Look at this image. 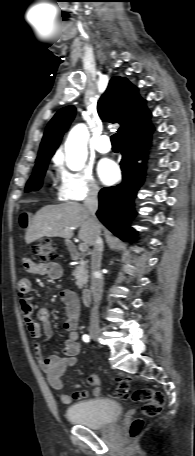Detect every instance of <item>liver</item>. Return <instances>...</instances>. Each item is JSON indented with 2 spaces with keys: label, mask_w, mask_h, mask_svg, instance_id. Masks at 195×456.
Wrapping results in <instances>:
<instances>
[{
  "label": "liver",
  "mask_w": 195,
  "mask_h": 456,
  "mask_svg": "<svg viewBox=\"0 0 195 456\" xmlns=\"http://www.w3.org/2000/svg\"><path fill=\"white\" fill-rule=\"evenodd\" d=\"M77 227H80L78 237L87 246H92L95 233L84 205L77 202L47 205L42 207L31 220L26 231L25 241L32 243L44 236L69 240L73 236V230Z\"/></svg>",
  "instance_id": "obj_1"
}]
</instances>
